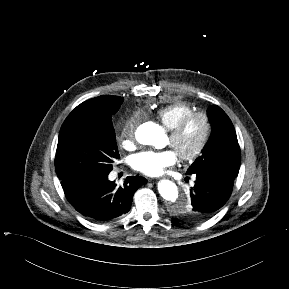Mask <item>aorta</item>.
<instances>
[{"instance_id": "obj_1", "label": "aorta", "mask_w": 289, "mask_h": 289, "mask_svg": "<svg viewBox=\"0 0 289 289\" xmlns=\"http://www.w3.org/2000/svg\"><path fill=\"white\" fill-rule=\"evenodd\" d=\"M163 129L155 123H145L136 132V139L140 144L160 147L163 138ZM160 195L167 201L173 203V208H179L182 204H188L186 200L179 199L178 188L170 180H161L158 183Z\"/></svg>"}]
</instances>
